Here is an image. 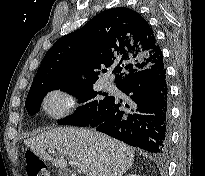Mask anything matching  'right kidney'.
Segmentation results:
<instances>
[{
	"instance_id": "right-kidney-1",
	"label": "right kidney",
	"mask_w": 205,
	"mask_h": 176,
	"mask_svg": "<svg viewBox=\"0 0 205 176\" xmlns=\"http://www.w3.org/2000/svg\"><path fill=\"white\" fill-rule=\"evenodd\" d=\"M126 176H140V175H137V174H128Z\"/></svg>"
}]
</instances>
